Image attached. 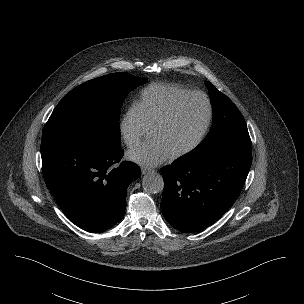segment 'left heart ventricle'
<instances>
[{"label": "left heart ventricle", "instance_id": "left-heart-ventricle-1", "mask_svg": "<svg viewBox=\"0 0 304 304\" xmlns=\"http://www.w3.org/2000/svg\"><path fill=\"white\" fill-rule=\"evenodd\" d=\"M206 115L205 101L199 97L190 98L180 105L166 124L152 132V138L161 141L174 154L197 138Z\"/></svg>", "mask_w": 304, "mask_h": 304}]
</instances>
